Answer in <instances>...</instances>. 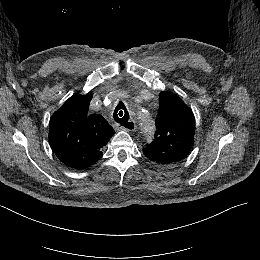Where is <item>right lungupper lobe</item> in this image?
Returning <instances> with one entry per match:
<instances>
[{"label": "right lung upper lobe", "mask_w": 260, "mask_h": 260, "mask_svg": "<svg viewBox=\"0 0 260 260\" xmlns=\"http://www.w3.org/2000/svg\"><path fill=\"white\" fill-rule=\"evenodd\" d=\"M91 99V93L75 94L50 119V146L71 168L84 169L94 164L114 135L113 128L101 115L88 114Z\"/></svg>", "instance_id": "right-lung-upper-lobe-1"}]
</instances>
